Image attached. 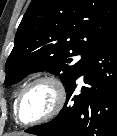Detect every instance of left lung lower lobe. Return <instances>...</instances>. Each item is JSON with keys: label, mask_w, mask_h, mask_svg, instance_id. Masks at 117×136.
Masks as SVG:
<instances>
[{"label": "left lung lower lobe", "mask_w": 117, "mask_h": 136, "mask_svg": "<svg viewBox=\"0 0 117 136\" xmlns=\"http://www.w3.org/2000/svg\"><path fill=\"white\" fill-rule=\"evenodd\" d=\"M84 76L81 93L76 81ZM63 109L50 122L28 128L38 136H117V22L86 56L66 88Z\"/></svg>", "instance_id": "obj_1"}]
</instances>
